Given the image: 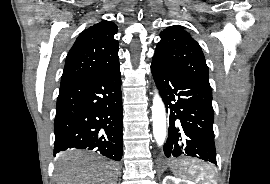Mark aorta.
Returning a JSON list of instances; mask_svg holds the SVG:
<instances>
[{
	"instance_id": "762f6f07",
	"label": "aorta",
	"mask_w": 270,
	"mask_h": 184,
	"mask_svg": "<svg viewBox=\"0 0 270 184\" xmlns=\"http://www.w3.org/2000/svg\"><path fill=\"white\" fill-rule=\"evenodd\" d=\"M153 136L158 144L162 146L167 135L166 111L162 99L156 92L152 106Z\"/></svg>"
}]
</instances>
